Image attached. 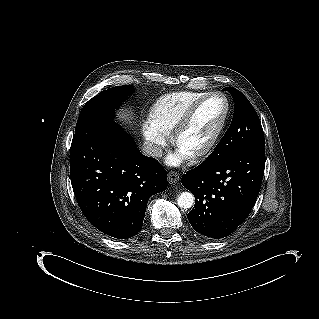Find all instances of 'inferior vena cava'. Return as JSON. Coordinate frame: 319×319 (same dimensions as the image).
<instances>
[{
  "instance_id": "1",
  "label": "inferior vena cava",
  "mask_w": 319,
  "mask_h": 319,
  "mask_svg": "<svg viewBox=\"0 0 319 319\" xmlns=\"http://www.w3.org/2000/svg\"><path fill=\"white\" fill-rule=\"evenodd\" d=\"M142 151L145 155L150 157H161L163 155L162 148L159 145L151 142H144Z\"/></svg>"
}]
</instances>
